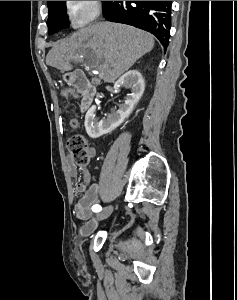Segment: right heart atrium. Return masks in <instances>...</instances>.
Wrapping results in <instances>:
<instances>
[{"label":"right heart atrium","mask_w":237,"mask_h":300,"mask_svg":"<svg viewBox=\"0 0 237 300\" xmlns=\"http://www.w3.org/2000/svg\"><path fill=\"white\" fill-rule=\"evenodd\" d=\"M67 16L74 28L86 26L101 13V1H65Z\"/></svg>","instance_id":"d8ad5b80"}]
</instances>
